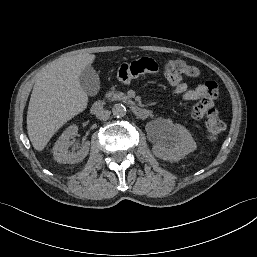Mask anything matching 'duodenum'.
<instances>
[{
	"label": "duodenum",
	"mask_w": 257,
	"mask_h": 257,
	"mask_svg": "<svg viewBox=\"0 0 257 257\" xmlns=\"http://www.w3.org/2000/svg\"><path fill=\"white\" fill-rule=\"evenodd\" d=\"M104 108V103L102 101H96L92 106V112L98 114ZM131 109L133 113L140 119H146L151 115V111L147 108L131 104Z\"/></svg>",
	"instance_id": "1"
}]
</instances>
